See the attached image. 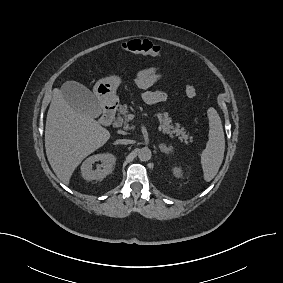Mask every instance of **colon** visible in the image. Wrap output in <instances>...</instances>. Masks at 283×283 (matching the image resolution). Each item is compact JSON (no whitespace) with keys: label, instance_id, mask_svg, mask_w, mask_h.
I'll list each match as a JSON object with an SVG mask.
<instances>
[{"label":"colon","instance_id":"1","mask_svg":"<svg viewBox=\"0 0 283 283\" xmlns=\"http://www.w3.org/2000/svg\"><path fill=\"white\" fill-rule=\"evenodd\" d=\"M122 49L127 53L142 54L151 56H161L163 51L160 46L152 43L147 39H131L122 44ZM185 94L188 98L193 99L197 95L196 88L188 84L185 87Z\"/></svg>","mask_w":283,"mask_h":283}]
</instances>
